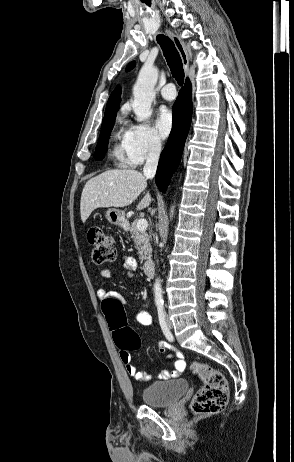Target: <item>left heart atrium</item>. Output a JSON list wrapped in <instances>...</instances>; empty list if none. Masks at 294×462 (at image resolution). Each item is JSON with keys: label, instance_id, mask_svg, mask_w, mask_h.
Returning <instances> with one entry per match:
<instances>
[{"label": "left heart atrium", "instance_id": "left-heart-atrium-1", "mask_svg": "<svg viewBox=\"0 0 294 462\" xmlns=\"http://www.w3.org/2000/svg\"><path fill=\"white\" fill-rule=\"evenodd\" d=\"M173 124L174 119L171 111L161 110L156 119V128L161 137L166 138L170 134Z\"/></svg>", "mask_w": 294, "mask_h": 462}]
</instances>
